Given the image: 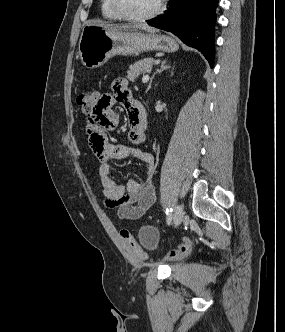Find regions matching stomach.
<instances>
[{"instance_id": "stomach-1", "label": "stomach", "mask_w": 285, "mask_h": 332, "mask_svg": "<svg viewBox=\"0 0 285 332\" xmlns=\"http://www.w3.org/2000/svg\"><path fill=\"white\" fill-rule=\"evenodd\" d=\"M178 49L177 42L167 35L136 31L113 32L105 27L89 24L82 30L78 55L86 68L94 69L116 55H138L145 51L175 52Z\"/></svg>"}]
</instances>
